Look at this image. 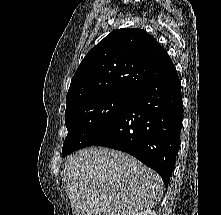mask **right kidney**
<instances>
[{"label": "right kidney", "mask_w": 221, "mask_h": 215, "mask_svg": "<svg viewBox=\"0 0 221 215\" xmlns=\"http://www.w3.org/2000/svg\"><path fill=\"white\" fill-rule=\"evenodd\" d=\"M135 215H156V212L154 210L147 209V210L139 212V213H137Z\"/></svg>", "instance_id": "ca27d5eb"}]
</instances>
